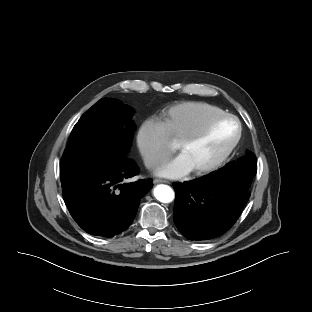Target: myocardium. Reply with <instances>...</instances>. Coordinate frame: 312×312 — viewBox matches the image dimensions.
<instances>
[{
	"label": "myocardium",
	"instance_id": "1",
	"mask_svg": "<svg viewBox=\"0 0 312 312\" xmlns=\"http://www.w3.org/2000/svg\"><path fill=\"white\" fill-rule=\"evenodd\" d=\"M226 119L233 120L237 124V134H236L234 140L231 142V144L228 146V148L213 162H211L210 164H208L206 166L194 169L193 170L194 174L204 175V174L210 173V172L216 170L217 168H219L229 158V156L233 153V151L237 147V145L240 142V139L242 137L241 122L235 115L228 114V113H225V114H222L219 116H215V117L207 120L200 128H198L194 132L186 135L185 137H183L179 141L178 150L181 151L187 145H190V144L198 141L200 138H202L210 130V128L214 124H216L222 120H226Z\"/></svg>",
	"mask_w": 312,
	"mask_h": 312
}]
</instances>
